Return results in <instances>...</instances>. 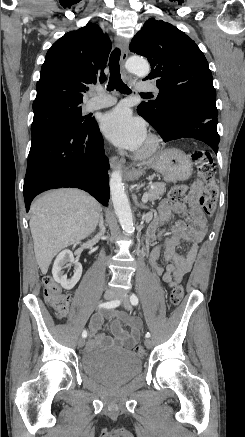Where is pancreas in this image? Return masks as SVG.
I'll use <instances>...</instances> for the list:
<instances>
[{"mask_svg":"<svg viewBox=\"0 0 245 437\" xmlns=\"http://www.w3.org/2000/svg\"><path fill=\"white\" fill-rule=\"evenodd\" d=\"M166 192V184L162 182H156L151 185V188L148 190V200L150 202H154L164 195Z\"/></svg>","mask_w":245,"mask_h":437,"instance_id":"obj_1","label":"pancreas"}]
</instances>
